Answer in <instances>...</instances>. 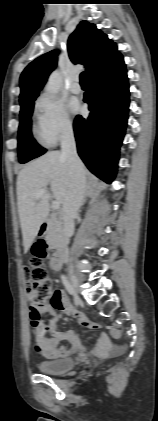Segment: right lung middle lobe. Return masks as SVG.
<instances>
[{
  "label": "right lung middle lobe",
  "mask_w": 158,
  "mask_h": 421,
  "mask_svg": "<svg viewBox=\"0 0 158 421\" xmlns=\"http://www.w3.org/2000/svg\"><path fill=\"white\" fill-rule=\"evenodd\" d=\"M35 100V99H34ZM34 100L21 105L20 125L18 130V156L20 163H26L45 153L32 137L31 115L33 112Z\"/></svg>",
  "instance_id": "obj_1"
}]
</instances>
